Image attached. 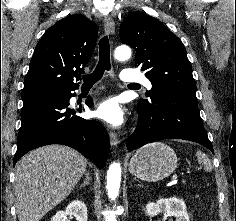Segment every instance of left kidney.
<instances>
[{
    "label": "left kidney",
    "mask_w": 236,
    "mask_h": 221,
    "mask_svg": "<svg viewBox=\"0 0 236 221\" xmlns=\"http://www.w3.org/2000/svg\"><path fill=\"white\" fill-rule=\"evenodd\" d=\"M145 213L149 217H154L159 213H164L175 217V221H189L184 201L176 197L169 199L161 198L156 203L149 202L146 205Z\"/></svg>",
    "instance_id": "5707ae66"
}]
</instances>
